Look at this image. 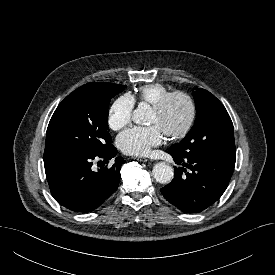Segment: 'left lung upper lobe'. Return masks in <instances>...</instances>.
I'll list each match as a JSON object with an SVG mask.
<instances>
[{
  "instance_id": "obj_1",
  "label": "left lung upper lobe",
  "mask_w": 275,
  "mask_h": 275,
  "mask_svg": "<svg viewBox=\"0 0 275 275\" xmlns=\"http://www.w3.org/2000/svg\"><path fill=\"white\" fill-rule=\"evenodd\" d=\"M193 97L196 121L186 137L169 149L182 157L199 152L236 157L233 123L225 107L202 88L197 89Z\"/></svg>"
}]
</instances>
